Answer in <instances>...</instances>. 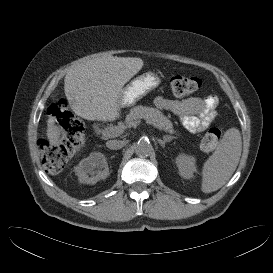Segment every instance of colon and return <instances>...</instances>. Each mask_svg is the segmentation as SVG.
<instances>
[{"instance_id": "1", "label": "colon", "mask_w": 273, "mask_h": 273, "mask_svg": "<svg viewBox=\"0 0 273 273\" xmlns=\"http://www.w3.org/2000/svg\"><path fill=\"white\" fill-rule=\"evenodd\" d=\"M201 84V80L193 76L174 75L168 80L169 89L175 97L191 95L200 89ZM49 113L58 119L67 132V137L58 144L40 142L39 153L45 168L51 173H59L67 161L83 147L85 127L79 119L67 110V104L64 100H59L53 104ZM222 135V129L210 128L201 141V148L206 152L214 150L220 143Z\"/></svg>"}]
</instances>
